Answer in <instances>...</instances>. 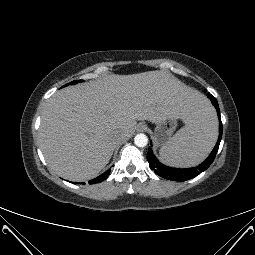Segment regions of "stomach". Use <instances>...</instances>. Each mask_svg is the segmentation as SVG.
Listing matches in <instances>:
<instances>
[{
	"mask_svg": "<svg viewBox=\"0 0 255 255\" xmlns=\"http://www.w3.org/2000/svg\"><path fill=\"white\" fill-rule=\"evenodd\" d=\"M178 119V117L170 115L156 123L154 140L157 146H163L171 138L178 124Z\"/></svg>",
	"mask_w": 255,
	"mask_h": 255,
	"instance_id": "stomach-1",
	"label": "stomach"
}]
</instances>
